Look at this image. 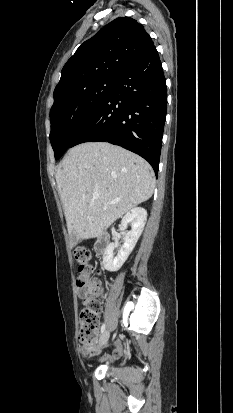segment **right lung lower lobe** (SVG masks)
<instances>
[{"label":"right lung lower lobe","instance_id":"right-lung-lower-lobe-1","mask_svg":"<svg viewBox=\"0 0 233 413\" xmlns=\"http://www.w3.org/2000/svg\"><path fill=\"white\" fill-rule=\"evenodd\" d=\"M167 107L166 82L153 45L126 66L113 88L71 147L84 142H109L144 159L158 174Z\"/></svg>","mask_w":233,"mask_h":413}]
</instances>
